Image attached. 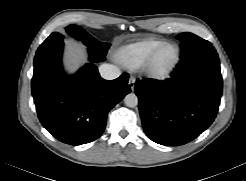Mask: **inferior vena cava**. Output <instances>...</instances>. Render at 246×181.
<instances>
[{
    "label": "inferior vena cava",
    "instance_id": "inferior-vena-cava-1",
    "mask_svg": "<svg viewBox=\"0 0 246 181\" xmlns=\"http://www.w3.org/2000/svg\"><path fill=\"white\" fill-rule=\"evenodd\" d=\"M99 73L103 79L113 80L121 75L120 69L112 64H102L99 67Z\"/></svg>",
    "mask_w": 246,
    "mask_h": 181
}]
</instances>
